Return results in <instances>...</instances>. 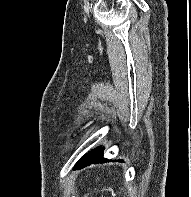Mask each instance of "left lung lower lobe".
Returning a JSON list of instances; mask_svg holds the SVG:
<instances>
[{
	"label": "left lung lower lobe",
	"instance_id": "0a47b994",
	"mask_svg": "<svg viewBox=\"0 0 191 197\" xmlns=\"http://www.w3.org/2000/svg\"><path fill=\"white\" fill-rule=\"evenodd\" d=\"M103 151V147H98L94 150H91L86 155L81 157V159L75 164L74 169H81L90 164L106 161V159L103 158Z\"/></svg>",
	"mask_w": 191,
	"mask_h": 197
}]
</instances>
